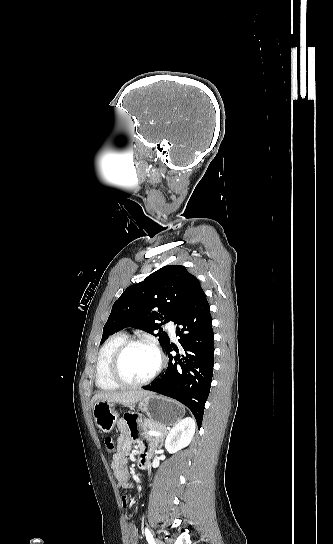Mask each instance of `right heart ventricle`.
<instances>
[{
    "mask_svg": "<svg viewBox=\"0 0 333 544\" xmlns=\"http://www.w3.org/2000/svg\"><path fill=\"white\" fill-rule=\"evenodd\" d=\"M128 339L124 332H119L108 337L101 345L95 365L96 386L104 391L116 390L120 387L109 375V365L116 349Z\"/></svg>",
    "mask_w": 333,
    "mask_h": 544,
    "instance_id": "obj_1",
    "label": "right heart ventricle"
}]
</instances>
